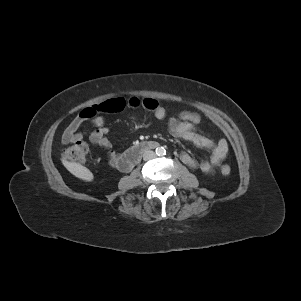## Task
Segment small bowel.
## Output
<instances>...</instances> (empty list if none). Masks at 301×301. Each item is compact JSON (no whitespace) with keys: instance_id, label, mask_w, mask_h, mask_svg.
I'll use <instances>...</instances> for the list:
<instances>
[{"instance_id":"c3829d8e","label":"small bowel","mask_w":301,"mask_h":301,"mask_svg":"<svg viewBox=\"0 0 301 301\" xmlns=\"http://www.w3.org/2000/svg\"><path fill=\"white\" fill-rule=\"evenodd\" d=\"M182 113V112H181ZM158 119L167 118L166 110L160 107L155 111ZM88 119L81 114L65 129L62 135V143L69 144L81 141L84 136L88 135L90 142L98 147L103 148L107 153V159L111 166L121 169V160L123 154L112 150V144L109 140V127L105 124L102 117L94 118L90 123V129L80 130L84 121ZM196 126L190 122H184L182 119L175 118L173 115L168 117V131L176 137L192 142L194 145L211 150L212 154L209 160H196L186 152L181 153L180 158L183 163L192 168H197L204 173L213 172L214 169L226 157L228 145L225 139L217 141L202 135L195 131Z\"/></svg>"}]
</instances>
